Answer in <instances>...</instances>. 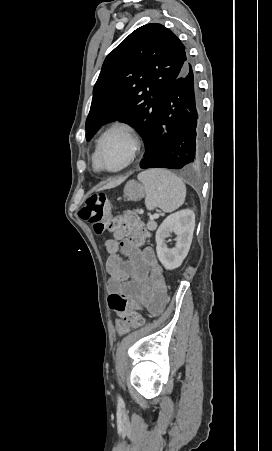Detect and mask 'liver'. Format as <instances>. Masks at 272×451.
<instances>
[{
  "label": "liver",
  "instance_id": "1",
  "mask_svg": "<svg viewBox=\"0 0 272 451\" xmlns=\"http://www.w3.org/2000/svg\"><path fill=\"white\" fill-rule=\"evenodd\" d=\"M125 178H119V180H115V182H110V184H107V186H110V188H112V186H118V184H121V182H124Z\"/></svg>",
  "mask_w": 272,
  "mask_h": 451
}]
</instances>
